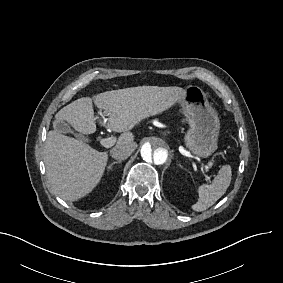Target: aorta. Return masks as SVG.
I'll use <instances>...</instances> for the list:
<instances>
[{
  "mask_svg": "<svg viewBox=\"0 0 283 283\" xmlns=\"http://www.w3.org/2000/svg\"><path fill=\"white\" fill-rule=\"evenodd\" d=\"M141 159L150 168L164 167L170 158V149L167 141L159 136L145 137L141 145Z\"/></svg>",
  "mask_w": 283,
  "mask_h": 283,
  "instance_id": "aorta-1",
  "label": "aorta"
}]
</instances>
